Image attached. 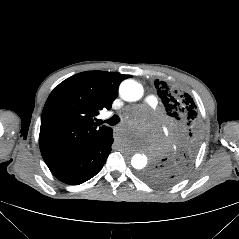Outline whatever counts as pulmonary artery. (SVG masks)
Returning <instances> with one entry per match:
<instances>
[{"mask_svg":"<svg viewBox=\"0 0 239 239\" xmlns=\"http://www.w3.org/2000/svg\"><path fill=\"white\" fill-rule=\"evenodd\" d=\"M145 103L151 108H156L158 101L155 96L149 95L145 98Z\"/></svg>","mask_w":239,"mask_h":239,"instance_id":"pulmonary-artery-1","label":"pulmonary artery"}]
</instances>
